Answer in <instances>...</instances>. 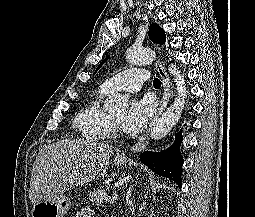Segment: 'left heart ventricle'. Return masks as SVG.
<instances>
[{
  "label": "left heart ventricle",
  "instance_id": "1",
  "mask_svg": "<svg viewBox=\"0 0 255 217\" xmlns=\"http://www.w3.org/2000/svg\"><path fill=\"white\" fill-rule=\"evenodd\" d=\"M112 117H113L117 122H120V121L122 120V118L124 117V114H123V113L114 114V115H112Z\"/></svg>",
  "mask_w": 255,
  "mask_h": 217
}]
</instances>
